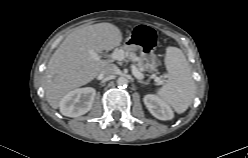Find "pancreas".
Listing matches in <instances>:
<instances>
[{
	"label": "pancreas",
	"mask_w": 248,
	"mask_h": 158,
	"mask_svg": "<svg viewBox=\"0 0 248 158\" xmlns=\"http://www.w3.org/2000/svg\"><path fill=\"white\" fill-rule=\"evenodd\" d=\"M124 52L126 53V56L129 59H131V60L136 59V61H137L136 66H137V69L139 71H145L146 70V66H148V64L142 58L137 57L131 48L124 47Z\"/></svg>",
	"instance_id": "cf45deb5"
}]
</instances>
